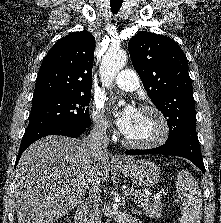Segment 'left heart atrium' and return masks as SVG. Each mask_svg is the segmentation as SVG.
I'll use <instances>...</instances> for the list:
<instances>
[{
    "label": "left heart atrium",
    "instance_id": "39dd6f15",
    "mask_svg": "<svg viewBox=\"0 0 221 223\" xmlns=\"http://www.w3.org/2000/svg\"><path fill=\"white\" fill-rule=\"evenodd\" d=\"M137 113L138 110L134 106L128 105L117 116L116 124L122 133H126L130 129L134 119L137 116Z\"/></svg>",
    "mask_w": 221,
    "mask_h": 223
}]
</instances>
